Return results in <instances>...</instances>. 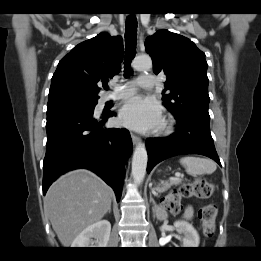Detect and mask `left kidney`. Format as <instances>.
I'll list each match as a JSON object with an SVG mask.
<instances>
[{
    "label": "left kidney",
    "mask_w": 261,
    "mask_h": 261,
    "mask_svg": "<svg viewBox=\"0 0 261 261\" xmlns=\"http://www.w3.org/2000/svg\"><path fill=\"white\" fill-rule=\"evenodd\" d=\"M174 226L179 234L184 235L181 247L197 248L199 246L200 238L192 224L185 221H176Z\"/></svg>",
    "instance_id": "5707ae66"
}]
</instances>
